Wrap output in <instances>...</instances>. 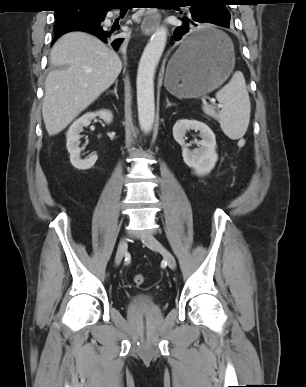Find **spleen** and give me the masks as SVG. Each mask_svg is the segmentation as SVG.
Instances as JSON below:
<instances>
[{"label":"spleen","mask_w":306,"mask_h":387,"mask_svg":"<svg viewBox=\"0 0 306 387\" xmlns=\"http://www.w3.org/2000/svg\"><path fill=\"white\" fill-rule=\"evenodd\" d=\"M222 109L218 112L211 105H203V111L208 116L217 119L224 134L232 140H237L246 133L249 122L251 103L246 89L245 78L236 71L230 81L216 93Z\"/></svg>","instance_id":"obj_1"}]
</instances>
